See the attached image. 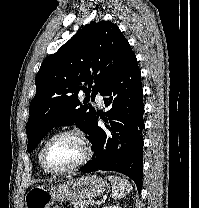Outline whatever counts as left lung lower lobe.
Segmentation results:
<instances>
[{
	"label": "left lung lower lobe",
	"instance_id": "obj_1",
	"mask_svg": "<svg viewBox=\"0 0 199 208\" xmlns=\"http://www.w3.org/2000/svg\"><path fill=\"white\" fill-rule=\"evenodd\" d=\"M105 106V128L97 125L95 115L90 141L94 156L81 172L117 171L130 177L142 188L144 106L141 73L135 54L123 68L100 90Z\"/></svg>",
	"mask_w": 199,
	"mask_h": 208
}]
</instances>
